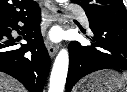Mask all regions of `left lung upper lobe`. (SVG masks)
Here are the masks:
<instances>
[{"mask_svg":"<svg viewBox=\"0 0 127 92\" xmlns=\"http://www.w3.org/2000/svg\"><path fill=\"white\" fill-rule=\"evenodd\" d=\"M80 5L89 18L127 21V12L122 0H71Z\"/></svg>","mask_w":127,"mask_h":92,"instance_id":"5c2ea615","label":"left lung upper lobe"}]
</instances>
